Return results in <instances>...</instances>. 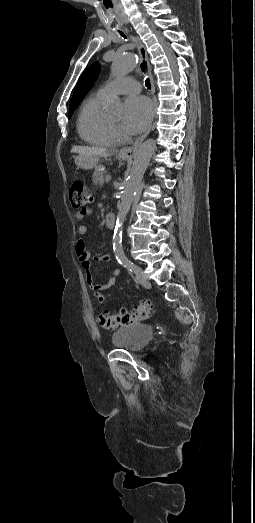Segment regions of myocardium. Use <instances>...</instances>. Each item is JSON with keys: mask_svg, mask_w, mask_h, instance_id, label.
<instances>
[{"mask_svg": "<svg viewBox=\"0 0 255 523\" xmlns=\"http://www.w3.org/2000/svg\"><path fill=\"white\" fill-rule=\"evenodd\" d=\"M108 124L117 140H119V141L128 140L129 137L125 134V132L122 130L121 126L116 121H114L113 119H111L109 117Z\"/></svg>", "mask_w": 255, "mask_h": 523, "instance_id": "myocardium-1", "label": "myocardium"}]
</instances>
